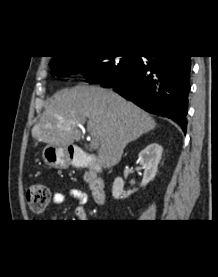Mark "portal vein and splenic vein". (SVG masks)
<instances>
[{"label":"portal vein and splenic vein","mask_w":218,"mask_h":277,"mask_svg":"<svg viewBox=\"0 0 218 277\" xmlns=\"http://www.w3.org/2000/svg\"><path fill=\"white\" fill-rule=\"evenodd\" d=\"M69 124H70V126H69V128H70L72 126L79 125L80 123L78 121H71ZM90 146L93 149H97L99 147V141L96 138H93V140L91 141Z\"/></svg>","instance_id":"18ae733b"}]
</instances>
